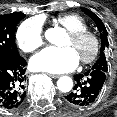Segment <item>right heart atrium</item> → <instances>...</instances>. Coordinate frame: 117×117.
Listing matches in <instances>:
<instances>
[{
  "instance_id": "1",
  "label": "right heart atrium",
  "mask_w": 117,
  "mask_h": 117,
  "mask_svg": "<svg viewBox=\"0 0 117 117\" xmlns=\"http://www.w3.org/2000/svg\"><path fill=\"white\" fill-rule=\"evenodd\" d=\"M16 39L20 49L26 53L39 49L44 42L42 18L33 17L23 21L17 29Z\"/></svg>"
}]
</instances>
